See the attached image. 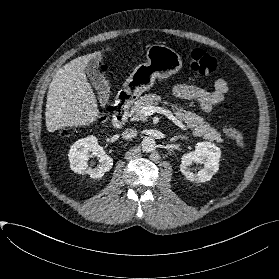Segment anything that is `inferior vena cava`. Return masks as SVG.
Segmentation results:
<instances>
[{
  "label": "inferior vena cava",
  "instance_id": "inferior-vena-cava-1",
  "mask_svg": "<svg viewBox=\"0 0 279 279\" xmlns=\"http://www.w3.org/2000/svg\"><path fill=\"white\" fill-rule=\"evenodd\" d=\"M135 136H137V130L136 129H132V128H127L123 133H122V137L124 139H131L134 138Z\"/></svg>",
  "mask_w": 279,
  "mask_h": 279
}]
</instances>
